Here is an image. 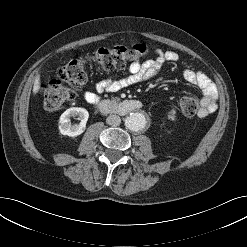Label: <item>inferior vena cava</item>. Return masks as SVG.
<instances>
[{
	"instance_id": "inferior-vena-cava-1",
	"label": "inferior vena cava",
	"mask_w": 247,
	"mask_h": 247,
	"mask_svg": "<svg viewBox=\"0 0 247 247\" xmlns=\"http://www.w3.org/2000/svg\"><path fill=\"white\" fill-rule=\"evenodd\" d=\"M106 123L111 126H118L121 123V119L116 114H111L107 117Z\"/></svg>"
}]
</instances>
